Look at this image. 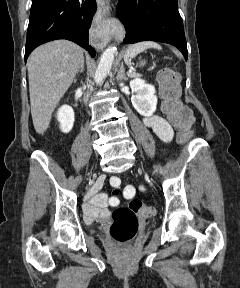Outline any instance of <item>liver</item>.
<instances>
[{
	"mask_svg": "<svg viewBox=\"0 0 240 288\" xmlns=\"http://www.w3.org/2000/svg\"><path fill=\"white\" fill-rule=\"evenodd\" d=\"M83 61V49L68 40L43 44L29 56L31 115L37 133L43 134L49 127L55 107L72 84Z\"/></svg>",
	"mask_w": 240,
	"mask_h": 288,
	"instance_id": "liver-1",
	"label": "liver"
}]
</instances>
